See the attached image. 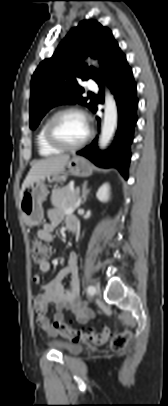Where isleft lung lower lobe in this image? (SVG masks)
<instances>
[{
	"label": "left lung lower lobe",
	"mask_w": 168,
	"mask_h": 406,
	"mask_svg": "<svg viewBox=\"0 0 168 406\" xmlns=\"http://www.w3.org/2000/svg\"><path fill=\"white\" fill-rule=\"evenodd\" d=\"M105 77L112 93L115 96L118 106L119 122L118 131L114 143L106 153L99 152L97 139L89 146L77 152L90 159L98 166L109 168L115 167L120 173L128 178V167L130 162V144L133 140V129L137 121L136 109L138 100L136 97V83L133 79L132 69L128 66L126 57L120 51L105 71ZM100 95L104 96L101 80L98 82ZM97 111L95 105L92 110ZM98 124L100 119L97 118Z\"/></svg>",
	"instance_id": "0a47b994"
}]
</instances>
